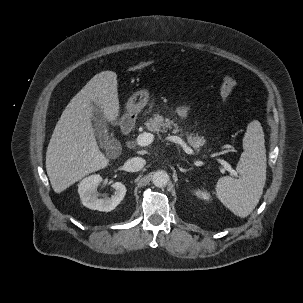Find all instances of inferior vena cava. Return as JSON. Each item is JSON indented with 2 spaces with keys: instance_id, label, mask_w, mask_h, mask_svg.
Wrapping results in <instances>:
<instances>
[{
  "instance_id": "602c4592",
  "label": "inferior vena cava",
  "mask_w": 303,
  "mask_h": 303,
  "mask_svg": "<svg viewBox=\"0 0 303 303\" xmlns=\"http://www.w3.org/2000/svg\"><path fill=\"white\" fill-rule=\"evenodd\" d=\"M145 164V159L141 157H133L125 162L124 167L128 172H137L140 171L145 166Z\"/></svg>"
}]
</instances>
